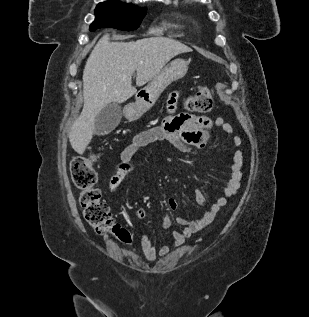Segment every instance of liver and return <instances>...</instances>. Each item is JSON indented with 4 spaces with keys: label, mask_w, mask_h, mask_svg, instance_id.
<instances>
[{
    "label": "liver",
    "mask_w": 309,
    "mask_h": 317,
    "mask_svg": "<svg viewBox=\"0 0 309 317\" xmlns=\"http://www.w3.org/2000/svg\"><path fill=\"white\" fill-rule=\"evenodd\" d=\"M192 49L171 38L149 37L130 42H110L104 35L92 50L83 71L84 106L68 137L72 148L83 154L95 133V118L108 104L132 97V75L138 87L152 81L165 64Z\"/></svg>",
    "instance_id": "obj_1"
}]
</instances>
